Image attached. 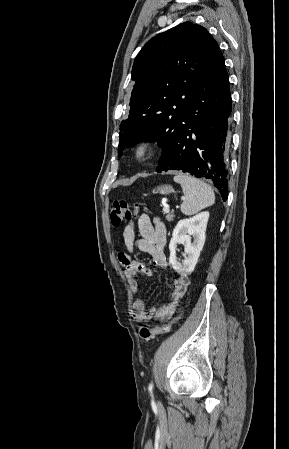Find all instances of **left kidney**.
I'll return each instance as SVG.
<instances>
[{
	"label": "left kidney",
	"instance_id": "left-kidney-1",
	"mask_svg": "<svg viewBox=\"0 0 289 449\" xmlns=\"http://www.w3.org/2000/svg\"><path fill=\"white\" fill-rule=\"evenodd\" d=\"M208 219L209 212H201L191 218L182 219L177 223L169 244V263L176 272L181 274L193 272L205 243ZM191 236L194 239L193 243H191ZM177 244H183L185 247V260L182 263L177 261Z\"/></svg>",
	"mask_w": 289,
	"mask_h": 449
}]
</instances>
